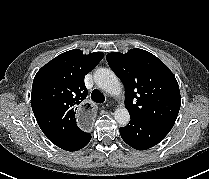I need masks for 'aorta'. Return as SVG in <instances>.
<instances>
[{
  "mask_svg": "<svg viewBox=\"0 0 209 179\" xmlns=\"http://www.w3.org/2000/svg\"><path fill=\"white\" fill-rule=\"evenodd\" d=\"M96 85L113 96H119L122 92V85L115 73L108 68H99L94 72ZM116 122L126 126L130 121V115L125 107L117 108L114 112Z\"/></svg>",
  "mask_w": 209,
  "mask_h": 179,
  "instance_id": "762f6f07",
  "label": "aorta"
}]
</instances>
